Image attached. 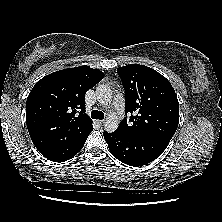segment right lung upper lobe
I'll use <instances>...</instances> for the list:
<instances>
[{
  "mask_svg": "<svg viewBox=\"0 0 222 222\" xmlns=\"http://www.w3.org/2000/svg\"><path fill=\"white\" fill-rule=\"evenodd\" d=\"M104 74L89 66L53 72L39 80L26 103V124L39 152L71 146L93 130L85 94Z\"/></svg>",
  "mask_w": 222,
  "mask_h": 222,
  "instance_id": "cb5924a9",
  "label": "right lung upper lobe"
}]
</instances>
